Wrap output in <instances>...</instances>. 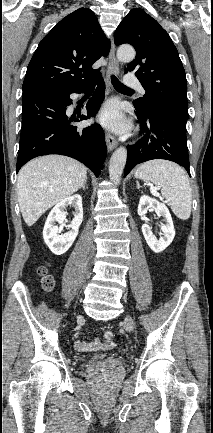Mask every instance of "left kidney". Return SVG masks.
Instances as JSON below:
<instances>
[{"mask_svg": "<svg viewBox=\"0 0 213 433\" xmlns=\"http://www.w3.org/2000/svg\"><path fill=\"white\" fill-rule=\"evenodd\" d=\"M149 209H154L156 214L159 217H163L165 219V224H162L161 230L163 232V236L156 240L155 236L153 235L151 228L148 224L142 225V233L144 235V238L148 244V246L151 248L152 251L155 253H160L163 250H165L173 241L175 237V230L174 225L172 221L171 214L167 208V206L155 198H151L149 196H142L139 201L138 205V215L139 216H145L147 211Z\"/></svg>", "mask_w": 213, "mask_h": 433, "instance_id": "obj_1", "label": "left kidney"}]
</instances>
